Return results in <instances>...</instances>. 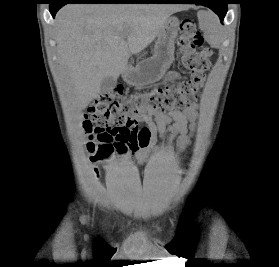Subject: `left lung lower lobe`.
Listing matches in <instances>:
<instances>
[{"instance_id": "obj_1", "label": "left lung lower lobe", "mask_w": 279, "mask_h": 267, "mask_svg": "<svg viewBox=\"0 0 279 267\" xmlns=\"http://www.w3.org/2000/svg\"><path fill=\"white\" fill-rule=\"evenodd\" d=\"M159 3H195L198 5H205L212 9L223 22V19L227 12L228 0H162Z\"/></svg>"}]
</instances>
